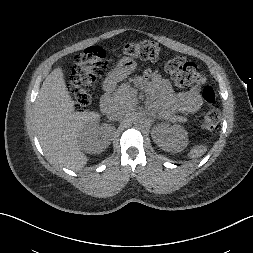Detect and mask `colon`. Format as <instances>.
Returning a JSON list of instances; mask_svg holds the SVG:
<instances>
[{
    "label": "colon",
    "instance_id": "colon-1",
    "mask_svg": "<svg viewBox=\"0 0 253 253\" xmlns=\"http://www.w3.org/2000/svg\"><path fill=\"white\" fill-rule=\"evenodd\" d=\"M122 51L129 57L154 62L159 61L164 55L160 46L151 41L129 43ZM74 63L67 86L75 109L80 111L90 104L93 88L106 69V53L100 47L91 46L76 55ZM165 68L179 86L200 85L205 82V77L198 66L181 57L168 59ZM202 97L209 105V109L200 117L199 127L204 131H214L220 121V112L214 107L216 101L214 89L209 85L204 86Z\"/></svg>",
    "mask_w": 253,
    "mask_h": 253
}]
</instances>
